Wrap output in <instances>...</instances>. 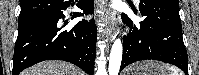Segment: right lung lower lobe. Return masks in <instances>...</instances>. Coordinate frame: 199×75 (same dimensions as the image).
Wrapping results in <instances>:
<instances>
[{"label": "right lung lower lobe", "instance_id": "1", "mask_svg": "<svg viewBox=\"0 0 199 75\" xmlns=\"http://www.w3.org/2000/svg\"><path fill=\"white\" fill-rule=\"evenodd\" d=\"M74 0H20L18 37L13 57V75L44 60L73 63L89 75L94 73L97 28L94 19L67 27L63 10ZM85 14L94 10V0H80ZM74 13L71 19L82 16Z\"/></svg>", "mask_w": 199, "mask_h": 75}]
</instances>
